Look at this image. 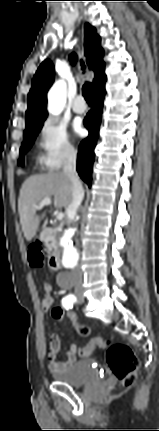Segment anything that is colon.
<instances>
[{"instance_id": "colon-1", "label": "colon", "mask_w": 159, "mask_h": 431, "mask_svg": "<svg viewBox=\"0 0 159 431\" xmlns=\"http://www.w3.org/2000/svg\"><path fill=\"white\" fill-rule=\"evenodd\" d=\"M29 261L32 266L39 267L43 264V254L38 245L33 246L29 251ZM55 306V298L52 295L46 298V307L53 308ZM81 314L75 309H68L64 306H57L52 310L51 319L58 324H74L78 333L87 337L90 336L91 330L77 320ZM107 348L106 361L114 377L124 386H131L136 377V371L139 367V359L135 352L124 343H114L106 345L101 341L100 337H91L90 343L80 345L77 349L78 358L81 360H88L93 351L96 349L102 350Z\"/></svg>"}]
</instances>
